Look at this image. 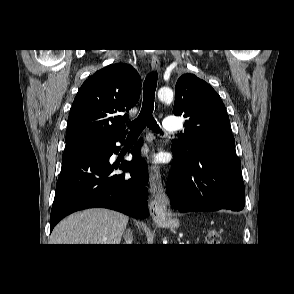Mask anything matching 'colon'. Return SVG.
Masks as SVG:
<instances>
[{
    "mask_svg": "<svg viewBox=\"0 0 294 294\" xmlns=\"http://www.w3.org/2000/svg\"><path fill=\"white\" fill-rule=\"evenodd\" d=\"M205 242L209 246H216L219 242V231L215 228L208 229L205 235Z\"/></svg>",
    "mask_w": 294,
    "mask_h": 294,
    "instance_id": "colon-1",
    "label": "colon"
}]
</instances>
